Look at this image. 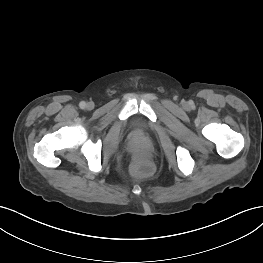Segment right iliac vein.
<instances>
[{"mask_svg":"<svg viewBox=\"0 0 263 263\" xmlns=\"http://www.w3.org/2000/svg\"><path fill=\"white\" fill-rule=\"evenodd\" d=\"M93 106H94V104H93L92 102H89L86 107H87L88 109H92Z\"/></svg>","mask_w":263,"mask_h":263,"instance_id":"1","label":"right iliac vein"}]
</instances>
